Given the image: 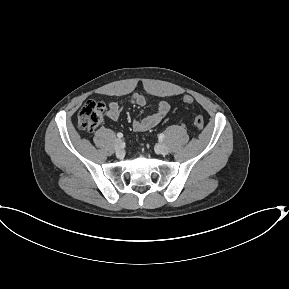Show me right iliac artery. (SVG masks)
Wrapping results in <instances>:
<instances>
[{
  "mask_svg": "<svg viewBox=\"0 0 289 289\" xmlns=\"http://www.w3.org/2000/svg\"><path fill=\"white\" fill-rule=\"evenodd\" d=\"M117 137H118V138H122V137H123V134H122V133H117Z\"/></svg>",
  "mask_w": 289,
  "mask_h": 289,
  "instance_id": "82829eb1",
  "label": "right iliac artery"
}]
</instances>
